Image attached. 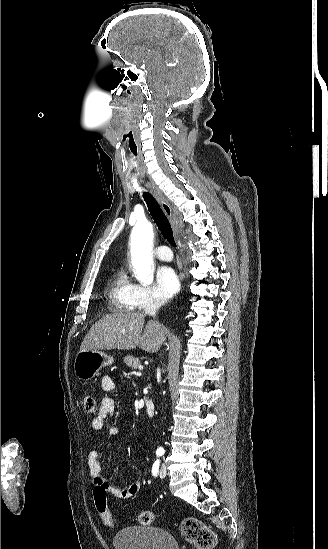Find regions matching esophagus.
<instances>
[{"label": "esophagus", "mask_w": 328, "mask_h": 549, "mask_svg": "<svg viewBox=\"0 0 328 549\" xmlns=\"http://www.w3.org/2000/svg\"><path fill=\"white\" fill-rule=\"evenodd\" d=\"M146 187L150 190V192L155 197L158 204L161 206L164 213L168 217V220L171 223L173 228L174 237L177 239L180 228H179L177 215L173 207L171 206L169 201L164 197V195H162V193L155 187V185L151 184L150 182H147Z\"/></svg>", "instance_id": "34e87169"}]
</instances>
